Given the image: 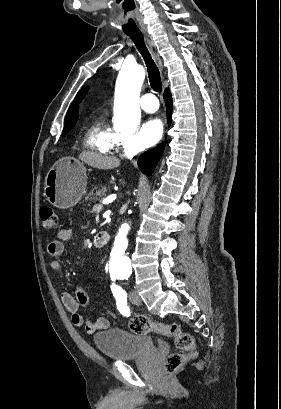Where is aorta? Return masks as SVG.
Here are the masks:
<instances>
[{
    "label": "aorta",
    "instance_id": "obj_1",
    "mask_svg": "<svg viewBox=\"0 0 281 409\" xmlns=\"http://www.w3.org/2000/svg\"><path fill=\"white\" fill-rule=\"evenodd\" d=\"M145 77L140 65L123 64L116 85L114 102V129L122 133L134 132L140 123L139 94ZM122 230L129 229L128 224Z\"/></svg>",
    "mask_w": 281,
    "mask_h": 409
}]
</instances>
